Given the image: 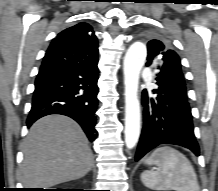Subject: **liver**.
<instances>
[{"mask_svg": "<svg viewBox=\"0 0 218 191\" xmlns=\"http://www.w3.org/2000/svg\"><path fill=\"white\" fill-rule=\"evenodd\" d=\"M21 180L27 188L52 187L85 176L93 154L81 127L66 116L36 121L23 145Z\"/></svg>", "mask_w": 218, "mask_h": 191, "instance_id": "1", "label": "liver"}]
</instances>
